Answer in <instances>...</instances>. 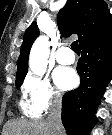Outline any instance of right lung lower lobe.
<instances>
[{
	"label": "right lung lower lobe",
	"instance_id": "1",
	"mask_svg": "<svg viewBox=\"0 0 112 135\" xmlns=\"http://www.w3.org/2000/svg\"><path fill=\"white\" fill-rule=\"evenodd\" d=\"M80 48V86L62 98V123L68 135H88L96 122V109L112 77V30Z\"/></svg>",
	"mask_w": 112,
	"mask_h": 135
}]
</instances>
